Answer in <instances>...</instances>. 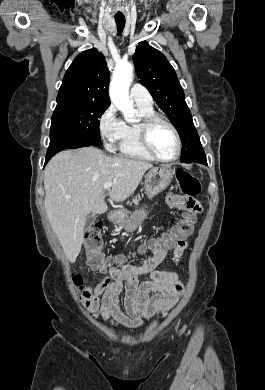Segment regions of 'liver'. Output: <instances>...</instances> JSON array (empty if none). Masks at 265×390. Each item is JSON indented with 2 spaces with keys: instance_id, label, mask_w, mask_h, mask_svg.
Here are the masks:
<instances>
[{
  "instance_id": "6515ba94",
  "label": "liver",
  "mask_w": 265,
  "mask_h": 390,
  "mask_svg": "<svg viewBox=\"0 0 265 390\" xmlns=\"http://www.w3.org/2000/svg\"><path fill=\"white\" fill-rule=\"evenodd\" d=\"M150 168V163L110 157L95 147L65 150L50 160L44 172L45 210L71 263L81 251L87 216L107 211L104 185L112 182L110 198L123 201L134 193Z\"/></svg>"
}]
</instances>
